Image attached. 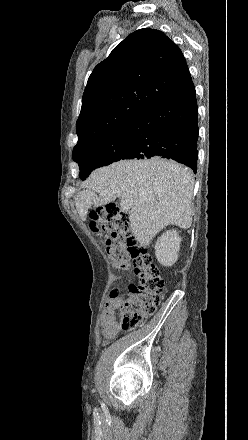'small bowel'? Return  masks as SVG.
Listing matches in <instances>:
<instances>
[{"label": "small bowel", "mask_w": 248, "mask_h": 440, "mask_svg": "<svg viewBox=\"0 0 248 440\" xmlns=\"http://www.w3.org/2000/svg\"><path fill=\"white\" fill-rule=\"evenodd\" d=\"M115 315L116 308L108 301L102 317V333L106 339L113 338L119 331Z\"/></svg>", "instance_id": "small-bowel-1"}]
</instances>
